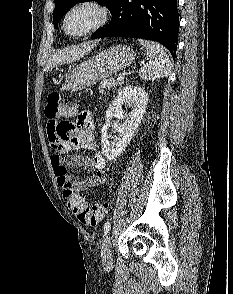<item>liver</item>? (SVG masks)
Masks as SVG:
<instances>
[{
	"label": "liver",
	"instance_id": "1",
	"mask_svg": "<svg viewBox=\"0 0 233 294\" xmlns=\"http://www.w3.org/2000/svg\"><path fill=\"white\" fill-rule=\"evenodd\" d=\"M95 45L96 43L90 45L84 44L55 54L48 60L45 71H49L57 65L71 63L84 57L94 48Z\"/></svg>",
	"mask_w": 233,
	"mask_h": 294
}]
</instances>
